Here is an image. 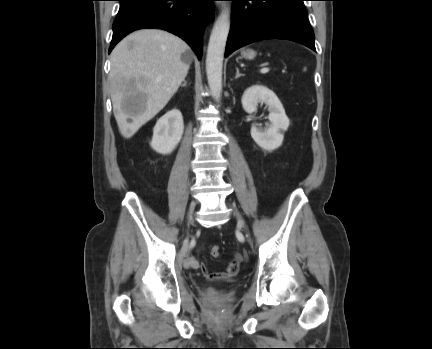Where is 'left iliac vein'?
<instances>
[{"instance_id":"obj_1","label":"left iliac vein","mask_w":432,"mask_h":349,"mask_svg":"<svg viewBox=\"0 0 432 349\" xmlns=\"http://www.w3.org/2000/svg\"><path fill=\"white\" fill-rule=\"evenodd\" d=\"M235 215H236V217H237L238 224H239L241 227H244V228H245V222H244L243 218L241 217V215L239 214V212H238L237 210H235Z\"/></svg>"}]
</instances>
